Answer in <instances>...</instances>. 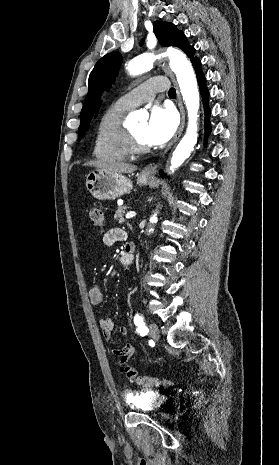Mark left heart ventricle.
I'll list each match as a JSON object with an SVG mask.
<instances>
[{
  "mask_svg": "<svg viewBox=\"0 0 279 465\" xmlns=\"http://www.w3.org/2000/svg\"><path fill=\"white\" fill-rule=\"evenodd\" d=\"M145 127H146V123L142 122V123L132 126L130 129L141 145L149 146V144L147 143L145 139Z\"/></svg>",
  "mask_w": 279,
  "mask_h": 465,
  "instance_id": "b2bd125f",
  "label": "left heart ventricle"
}]
</instances>
